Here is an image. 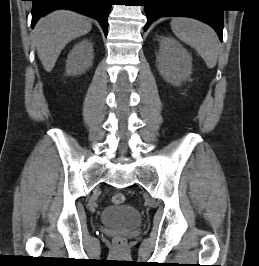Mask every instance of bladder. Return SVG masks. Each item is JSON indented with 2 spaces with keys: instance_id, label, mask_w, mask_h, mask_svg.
Listing matches in <instances>:
<instances>
[{
  "instance_id": "bladder-1",
  "label": "bladder",
  "mask_w": 259,
  "mask_h": 266,
  "mask_svg": "<svg viewBox=\"0 0 259 266\" xmlns=\"http://www.w3.org/2000/svg\"><path fill=\"white\" fill-rule=\"evenodd\" d=\"M101 223L116 228H135L141 223L140 213L130 205L106 207L101 214Z\"/></svg>"
}]
</instances>
